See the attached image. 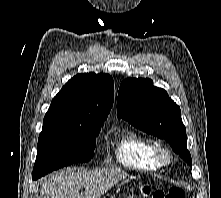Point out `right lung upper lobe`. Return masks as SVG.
Returning a JSON list of instances; mask_svg holds the SVG:
<instances>
[{
	"mask_svg": "<svg viewBox=\"0 0 221 198\" xmlns=\"http://www.w3.org/2000/svg\"><path fill=\"white\" fill-rule=\"evenodd\" d=\"M110 75L74 76L53 98L42 131L86 132L102 126L114 101Z\"/></svg>",
	"mask_w": 221,
	"mask_h": 198,
	"instance_id": "1",
	"label": "right lung upper lobe"
}]
</instances>
